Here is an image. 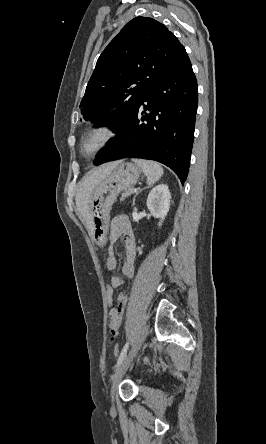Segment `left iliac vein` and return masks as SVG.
Masks as SVG:
<instances>
[{
  "instance_id": "1",
  "label": "left iliac vein",
  "mask_w": 266,
  "mask_h": 444,
  "mask_svg": "<svg viewBox=\"0 0 266 444\" xmlns=\"http://www.w3.org/2000/svg\"><path fill=\"white\" fill-rule=\"evenodd\" d=\"M149 332L148 326L144 325L139 332L137 338L135 339L132 348L130 349L129 353L125 356L122 363L118 366V369L116 370L113 378H112V385L110 389V395L112 402L115 401L116 393L118 390L119 383L121 382L122 378L124 377L125 373L127 372L130 364L132 363L133 359L137 355L140 347L142 346L147 334Z\"/></svg>"
}]
</instances>
